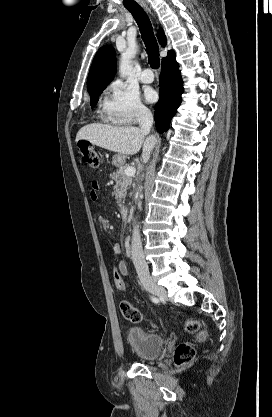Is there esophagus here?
<instances>
[{
  "label": "esophagus",
  "mask_w": 272,
  "mask_h": 417,
  "mask_svg": "<svg viewBox=\"0 0 272 417\" xmlns=\"http://www.w3.org/2000/svg\"><path fill=\"white\" fill-rule=\"evenodd\" d=\"M143 7L149 12L151 13V10L149 9V7L146 4H143Z\"/></svg>",
  "instance_id": "1"
}]
</instances>
